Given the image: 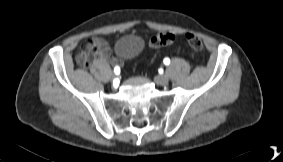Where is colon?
Returning a JSON list of instances; mask_svg holds the SVG:
<instances>
[{
	"mask_svg": "<svg viewBox=\"0 0 283 162\" xmlns=\"http://www.w3.org/2000/svg\"><path fill=\"white\" fill-rule=\"evenodd\" d=\"M185 39L188 45L192 49L196 51H199L202 49L203 44L196 35L188 33L185 35ZM174 41H175L174 34L163 32V33L156 35L154 38H152L151 46L154 48H161V47L171 45ZM90 58H91L90 54L81 52L77 55L76 62L80 66H87L89 64Z\"/></svg>",
	"mask_w": 283,
	"mask_h": 162,
	"instance_id": "obj_1",
	"label": "colon"
}]
</instances>
